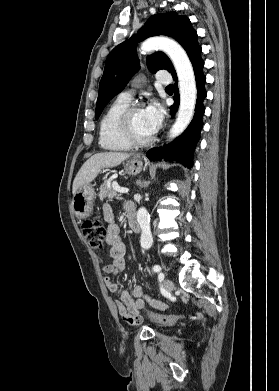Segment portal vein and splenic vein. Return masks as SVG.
Listing matches in <instances>:
<instances>
[{
  "instance_id": "portal-vein-and-splenic-vein-1",
  "label": "portal vein and splenic vein",
  "mask_w": 279,
  "mask_h": 391,
  "mask_svg": "<svg viewBox=\"0 0 279 391\" xmlns=\"http://www.w3.org/2000/svg\"><path fill=\"white\" fill-rule=\"evenodd\" d=\"M113 186H115V185L113 184ZM115 189H116L117 192H119L121 194H126L129 191L127 188H121L119 186H116Z\"/></svg>"
}]
</instances>
